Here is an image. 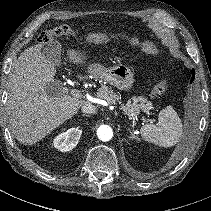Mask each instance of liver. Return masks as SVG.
<instances>
[{
	"label": "liver",
	"instance_id": "liver-1",
	"mask_svg": "<svg viewBox=\"0 0 211 211\" xmlns=\"http://www.w3.org/2000/svg\"><path fill=\"white\" fill-rule=\"evenodd\" d=\"M68 58L83 67L88 56L72 50ZM88 70L92 71L90 65ZM55 73V66L42 55L39 44L25 49L14 64L7 110L10 127L21 144H35L88 103L70 96L54 80Z\"/></svg>",
	"mask_w": 211,
	"mask_h": 211
}]
</instances>
